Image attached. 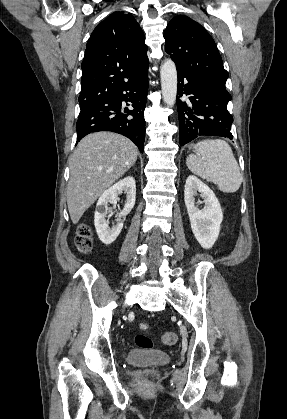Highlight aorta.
I'll return each instance as SVG.
<instances>
[{
  "mask_svg": "<svg viewBox=\"0 0 287 419\" xmlns=\"http://www.w3.org/2000/svg\"><path fill=\"white\" fill-rule=\"evenodd\" d=\"M160 77L163 101L168 107H173L177 95V70L171 59L161 65Z\"/></svg>",
  "mask_w": 287,
  "mask_h": 419,
  "instance_id": "762f6f07",
  "label": "aorta"
}]
</instances>
